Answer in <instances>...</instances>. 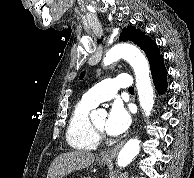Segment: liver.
I'll return each instance as SVG.
<instances>
[{
	"label": "liver",
	"mask_w": 194,
	"mask_h": 178,
	"mask_svg": "<svg viewBox=\"0 0 194 178\" xmlns=\"http://www.w3.org/2000/svg\"><path fill=\"white\" fill-rule=\"evenodd\" d=\"M94 160L95 155L86 151L63 153L51 163L47 178H63L73 171L88 167Z\"/></svg>",
	"instance_id": "liver-1"
}]
</instances>
